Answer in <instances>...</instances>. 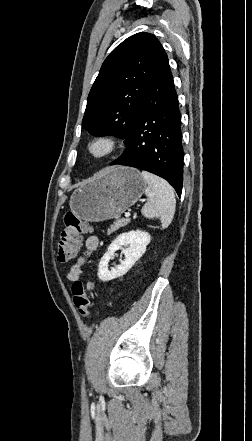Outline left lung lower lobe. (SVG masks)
I'll list each match as a JSON object with an SVG mask.
<instances>
[{
    "instance_id": "left-lung-lower-lobe-1",
    "label": "left lung lower lobe",
    "mask_w": 252,
    "mask_h": 441,
    "mask_svg": "<svg viewBox=\"0 0 252 441\" xmlns=\"http://www.w3.org/2000/svg\"><path fill=\"white\" fill-rule=\"evenodd\" d=\"M181 114L163 49L123 154L110 165L142 169L166 179L180 196L183 182Z\"/></svg>"
}]
</instances>
